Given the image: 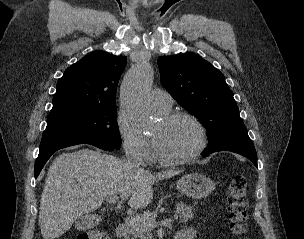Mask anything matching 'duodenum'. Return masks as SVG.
Listing matches in <instances>:
<instances>
[{
    "mask_svg": "<svg viewBox=\"0 0 304 239\" xmlns=\"http://www.w3.org/2000/svg\"><path fill=\"white\" fill-rule=\"evenodd\" d=\"M128 230L129 226L127 223H120L116 228V236L119 238H124L127 236ZM174 239H183V237L177 234Z\"/></svg>",
    "mask_w": 304,
    "mask_h": 239,
    "instance_id": "duodenum-1",
    "label": "duodenum"
}]
</instances>
